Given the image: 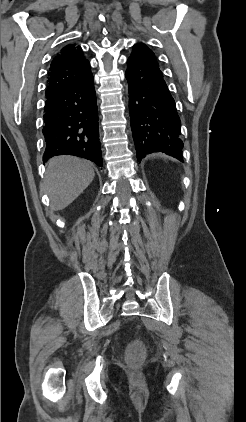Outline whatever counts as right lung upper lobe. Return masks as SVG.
I'll return each mask as SVG.
<instances>
[{
  "mask_svg": "<svg viewBox=\"0 0 246 422\" xmlns=\"http://www.w3.org/2000/svg\"><path fill=\"white\" fill-rule=\"evenodd\" d=\"M91 74L90 63L83 56L81 47L76 44L64 46L50 64L46 97L85 80Z\"/></svg>",
  "mask_w": 246,
  "mask_h": 422,
  "instance_id": "1",
  "label": "right lung upper lobe"
}]
</instances>
